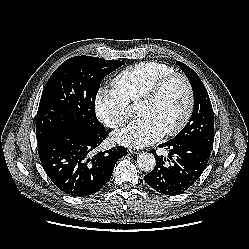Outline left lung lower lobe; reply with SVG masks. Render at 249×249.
<instances>
[{
	"instance_id": "left-lung-lower-lobe-1",
	"label": "left lung lower lobe",
	"mask_w": 249,
	"mask_h": 249,
	"mask_svg": "<svg viewBox=\"0 0 249 249\" xmlns=\"http://www.w3.org/2000/svg\"><path fill=\"white\" fill-rule=\"evenodd\" d=\"M159 147H166L169 157L163 159L156 155V166L144 179L151 188L165 195L180 194L191 187L203 173L212 150L195 142L173 139Z\"/></svg>"
}]
</instances>
